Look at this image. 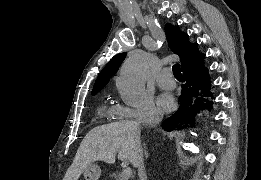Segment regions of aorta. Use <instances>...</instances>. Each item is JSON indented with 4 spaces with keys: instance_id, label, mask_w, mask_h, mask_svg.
I'll return each mask as SVG.
<instances>
[{
    "instance_id": "aorta-1",
    "label": "aorta",
    "mask_w": 261,
    "mask_h": 180,
    "mask_svg": "<svg viewBox=\"0 0 261 180\" xmlns=\"http://www.w3.org/2000/svg\"><path fill=\"white\" fill-rule=\"evenodd\" d=\"M147 69L145 59L138 55L130 56L122 65L116 86L126 105L138 107L142 104Z\"/></svg>"
}]
</instances>
